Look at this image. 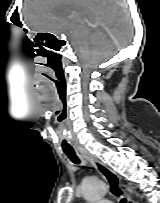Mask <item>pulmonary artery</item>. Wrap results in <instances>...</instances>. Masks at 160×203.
<instances>
[{
	"mask_svg": "<svg viewBox=\"0 0 160 203\" xmlns=\"http://www.w3.org/2000/svg\"><path fill=\"white\" fill-rule=\"evenodd\" d=\"M96 203H112L110 201H97Z\"/></svg>",
	"mask_w": 160,
	"mask_h": 203,
	"instance_id": "e3ab8cb5",
	"label": "pulmonary artery"
}]
</instances>
